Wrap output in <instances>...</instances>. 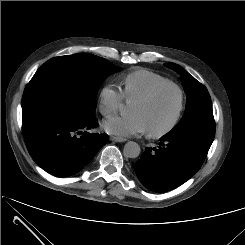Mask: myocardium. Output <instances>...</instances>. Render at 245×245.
<instances>
[{
	"instance_id": "obj_1",
	"label": "myocardium",
	"mask_w": 245,
	"mask_h": 245,
	"mask_svg": "<svg viewBox=\"0 0 245 245\" xmlns=\"http://www.w3.org/2000/svg\"><path fill=\"white\" fill-rule=\"evenodd\" d=\"M168 90L174 91L176 93L177 106L171 120L167 125L157 130H152V129L147 130L148 135L152 138L163 137L169 134L178 125L184 111V104H185L184 91L179 85L175 83H167V84L156 86L146 94L132 100L133 102H138V103H148L154 100L157 96H159L164 91H168Z\"/></svg>"
}]
</instances>
